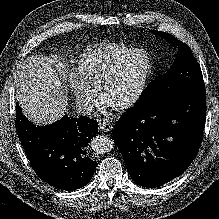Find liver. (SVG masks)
Wrapping results in <instances>:
<instances>
[{
    "instance_id": "1",
    "label": "liver",
    "mask_w": 219,
    "mask_h": 219,
    "mask_svg": "<svg viewBox=\"0 0 219 219\" xmlns=\"http://www.w3.org/2000/svg\"><path fill=\"white\" fill-rule=\"evenodd\" d=\"M62 68L57 57L45 56H29L19 66L14 81L16 98L23 113L35 125L51 124L66 112L68 99Z\"/></svg>"
}]
</instances>
